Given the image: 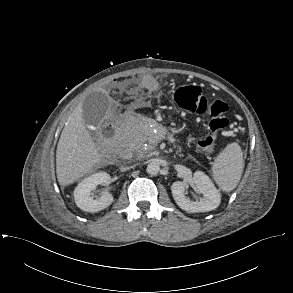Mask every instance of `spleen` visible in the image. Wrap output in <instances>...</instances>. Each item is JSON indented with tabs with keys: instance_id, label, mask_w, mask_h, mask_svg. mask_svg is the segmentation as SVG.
I'll return each mask as SVG.
<instances>
[{
	"instance_id": "3e777b00",
	"label": "spleen",
	"mask_w": 293,
	"mask_h": 293,
	"mask_svg": "<svg viewBox=\"0 0 293 293\" xmlns=\"http://www.w3.org/2000/svg\"><path fill=\"white\" fill-rule=\"evenodd\" d=\"M243 170V153L237 143L228 144L215 158L212 174L221 189L233 190L238 184Z\"/></svg>"
}]
</instances>
